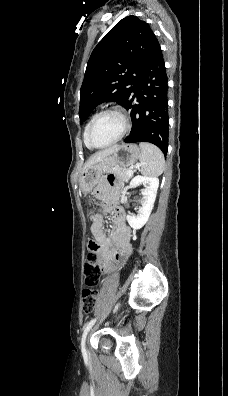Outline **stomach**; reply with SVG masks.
Here are the masks:
<instances>
[{
	"instance_id": "stomach-1",
	"label": "stomach",
	"mask_w": 228,
	"mask_h": 396,
	"mask_svg": "<svg viewBox=\"0 0 228 396\" xmlns=\"http://www.w3.org/2000/svg\"><path fill=\"white\" fill-rule=\"evenodd\" d=\"M141 150L136 144H122L106 158L85 169L79 179V186L84 194L90 193L104 173L113 166L130 167L140 159Z\"/></svg>"
}]
</instances>
